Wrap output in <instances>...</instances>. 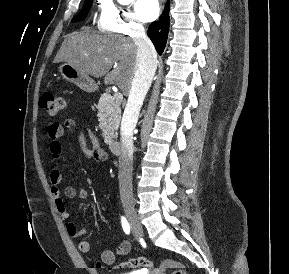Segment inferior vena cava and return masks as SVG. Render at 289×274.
<instances>
[{"mask_svg":"<svg viewBox=\"0 0 289 274\" xmlns=\"http://www.w3.org/2000/svg\"><path fill=\"white\" fill-rule=\"evenodd\" d=\"M133 42L137 46L136 70L121 122L118 174L121 196L132 194L133 130L157 67V53L142 25L136 28Z\"/></svg>","mask_w":289,"mask_h":274,"instance_id":"602c4592","label":"inferior vena cava"}]
</instances>
